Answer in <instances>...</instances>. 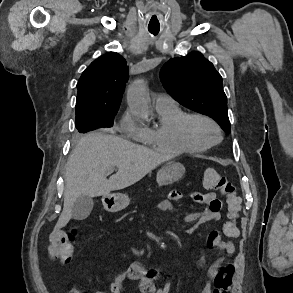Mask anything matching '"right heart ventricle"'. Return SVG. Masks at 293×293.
<instances>
[{"instance_id":"right-heart-ventricle-1","label":"right heart ventricle","mask_w":293,"mask_h":293,"mask_svg":"<svg viewBox=\"0 0 293 293\" xmlns=\"http://www.w3.org/2000/svg\"><path fill=\"white\" fill-rule=\"evenodd\" d=\"M159 122L153 128L144 127L142 141L157 150L171 153L198 152L187 144L180 133V124L186 116L176 103L163 107H156Z\"/></svg>"}]
</instances>
